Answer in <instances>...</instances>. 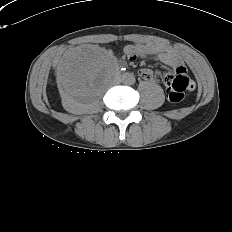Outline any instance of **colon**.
<instances>
[{
  "label": "colon",
  "instance_id": "5ec220e1",
  "mask_svg": "<svg viewBox=\"0 0 232 232\" xmlns=\"http://www.w3.org/2000/svg\"><path fill=\"white\" fill-rule=\"evenodd\" d=\"M164 83L167 86V96L172 102H180L184 97V92L193 86L189 78L182 74L166 75Z\"/></svg>",
  "mask_w": 232,
  "mask_h": 232
}]
</instances>
